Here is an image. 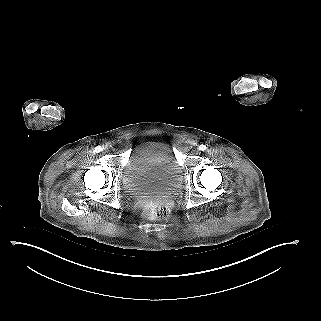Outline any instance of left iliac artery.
<instances>
[{
  "instance_id": "obj_1",
  "label": "left iliac artery",
  "mask_w": 321,
  "mask_h": 321,
  "mask_svg": "<svg viewBox=\"0 0 321 321\" xmlns=\"http://www.w3.org/2000/svg\"><path fill=\"white\" fill-rule=\"evenodd\" d=\"M207 149V147L205 146V145H200L199 146V150H201V151H204V150H206Z\"/></svg>"
}]
</instances>
